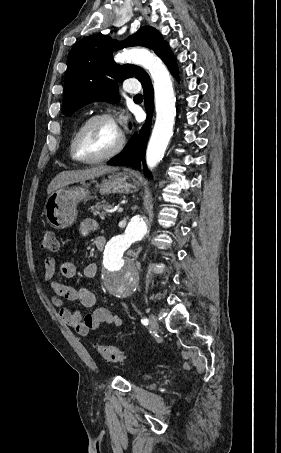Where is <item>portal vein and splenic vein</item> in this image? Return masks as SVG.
<instances>
[{
	"label": "portal vein and splenic vein",
	"instance_id": "1",
	"mask_svg": "<svg viewBox=\"0 0 281 453\" xmlns=\"http://www.w3.org/2000/svg\"><path fill=\"white\" fill-rule=\"evenodd\" d=\"M123 209H124L123 207H122V208H118L117 211H118V212H123Z\"/></svg>",
	"mask_w": 281,
	"mask_h": 453
}]
</instances>
